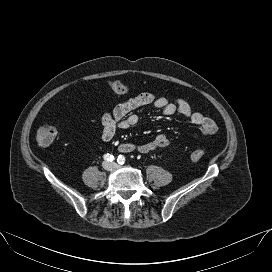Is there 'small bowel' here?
I'll return each instance as SVG.
<instances>
[{"mask_svg": "<svg viewBox=\"0 0 272 272\" xmlns=\"http://www.w3.org/2000/svg\"><path fill=\"white\" fill-rule=\"evenodd\" d=\"M150 105L161 109L165 116L179 114L188 118L198 127V129L193 132L194 138L213 135L217 131V125L211 118L203 115L201 112L193 110L185 100L180 98L168 99L144 92L118 104L111 112L103 115L101 120L102 140L105 142L111 141L117 130H128L134 127L139 121V117L134 111L140 107ZM169 145L170 138L165 134H158L153 140L137 145L136 151L141 154H147L166 149Z\"/></svg>", "mask_w": 272, "mask_h": 272, "instance_id": "1", "label": "small bowel"}]
</instances>
